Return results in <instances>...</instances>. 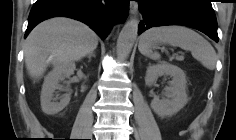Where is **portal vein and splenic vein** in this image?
I'll use <instances>...</instances> for the list:
<instances>
[{
  "instance_id": "obj_1",
  "label": "portal vein and splenic vein",
  "mask_w": 236,
  "mask_h": 140,
  "mask_svg": "<svg viewBox=\"0 0 236 140\" xmlns=\"http://www.w3.org/2000/svg\"><path fill=\"white\" fill-rule=\"evenodd\" d=\"M184 59V56L181 55V56H178V60H183Z\"/></svg>"
}]
</instances>
